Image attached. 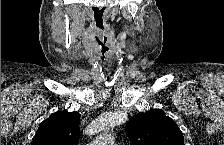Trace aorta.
I'll list each match as a JSON object with an SVG mask.
<instances>
[{"label":"aorta","instance_id":"obj_1","mask_svg":"<svg viewBox=\"0 0 224 145\" xmlns=\"http://www.w3.org/2000/svg\"><path fill=\"white\" fill-rule=\"evenodd\" d=\"M99 143L102 145H112L113 144V136L105 132L103 135L99 137Z\"/></svg>","mask_w":224,"mask_h":145}]
</instances>
